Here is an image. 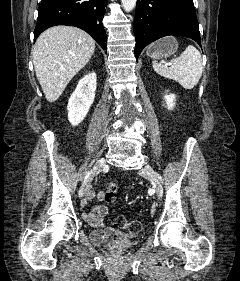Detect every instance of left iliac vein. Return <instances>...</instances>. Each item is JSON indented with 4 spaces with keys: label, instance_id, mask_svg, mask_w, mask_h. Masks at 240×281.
Returning <instances> with one entry per match:
<instances>
[{
    "label": "left iliac vein",
    "instance_id": "obj_1",
    "mask_svg": "<svg viewBox=\"0 0 240 281\" xmlns=\"http://www.w3.org/2000/svg\"><path fill=\"white\" fill-rule=\"evenodd\" d=\"M140 175L148 178L152 182L158 199H161L163 196V188L153 168L150 165H145L140 170Z\"/></svg>",
    "mask_w": 240,
    "mask_h": 281
}]
</instances>
